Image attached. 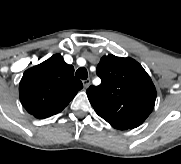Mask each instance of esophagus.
Wrapping results in <instances>:
<instances>
[{
  "instance_id": "34e87169",
  "label": "esophagus",
  "mask_w": 181,
  "mask_h": 164,
  "mask_svg": "<svg viewBox=\"0 0 181 164\" xmlns=\"http://www.w3.org/2000/svg\"><path fill=\"white\" fill-rule=\"evenodd\" d=\"M90 83H91L90 79L83 80V86H84L85 88H88L89 85H90Z\"/></svg>"
}]
</instances>
